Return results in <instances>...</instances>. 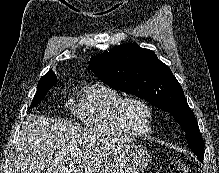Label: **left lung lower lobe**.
Here are the masks:
<instances>
[{"label":"left lung lower lobe","mask_w":219,"mask_h":173,"mask_svg":"<svg viewBox=\"0 0 219 173\" xmlns=\"http://www.w3.org/2000/svg\"><path fill=\"white\" fill-rule=\"evenodd\" d=\"M198 159H199L201 162H203V158H202V157H198Z\"/></svg>","instance_id":"0a47b994"}]
</instances>
